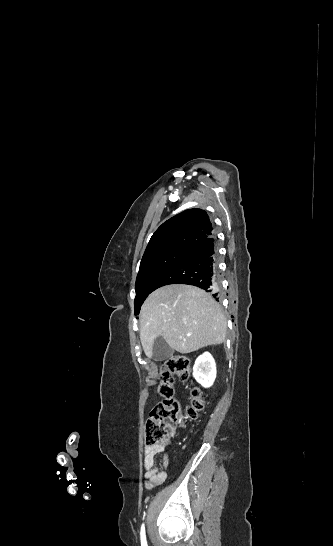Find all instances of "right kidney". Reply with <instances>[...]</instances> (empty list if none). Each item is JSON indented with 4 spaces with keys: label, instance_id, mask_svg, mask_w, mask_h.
I'll return each mask as SVG.
<instances>
[{
    "label": "right kidney",
    "instance_id": "obj_1",
    "mask_svg": "<svg viewBox=\"0 0 333 546\" xmlns=\"http://www.w3.org/2000/svg\"><path fill=\"white\" fill-rule=\"evenodd\" d=\"M193 376L205 388L213 385L216 378V364L209 352H204L196 359L193 367Z\"/></svg>",
    "mask_w": 333,
    "mask_h": 546
}]
</instances>
